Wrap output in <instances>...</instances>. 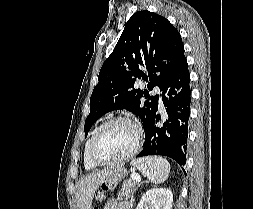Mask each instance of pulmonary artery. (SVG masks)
Returning a JSON list of instances; mask_svg holds the SVG:
<instances>
[{"mask_svg": "<svg viewBox=\"0 0 253 209\" xmlns=\"http://www.w3.org/2000/svg\"><path fill=\"white\" fill-rule=\"evenodd\" d=\"M153 93L154 94H159V88L155 87L154 90H153ZM160 108L163 109V105L162 104H160Z\"/></svg>", "mask_w": 253, "mask_h": 209, "instance_id": "obj_1", "label": "pulmonary artery"}]
</instances>
